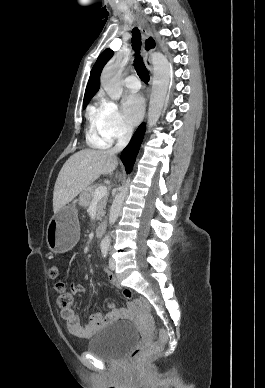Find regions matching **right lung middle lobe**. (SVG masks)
Instances as JSON below:
<instances>
[{
    "label": "right lung middle lobe",
    "instance_id": "1",
    "mask_svg": "<svg viewBox=\"0 0 265 388\" xmlns=\"http://www.w3.org/2000/svg\"><path fill=\"white\" fill-rule=\"evenodd\" d=\"M87 104H88V103H86V104H83V108H85V107L87 106Z\"/></svg>",
    "mask_w": 265,
    "mask_h": 388
}]
</instances>
